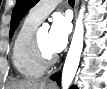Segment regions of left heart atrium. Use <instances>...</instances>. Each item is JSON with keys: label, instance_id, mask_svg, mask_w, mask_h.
Returning a JSON list of instances; mask_svg holds the SVG:
<instances>
[{"label": "left heart atrium", "instance_id": "39dd6f15", "mask_svg": "<svg viewBox=\"0 0 107 89\" xmlns=\"http://www.w3.org/2000/svg\"><path fill=\"white\" fill-rule=\"evenodd\" d=\"M71 31L69 18L63 14H56L49 31V48L53 53L64 50Z\"/></svg>", "mask_w": 107, "mask_h": 89}]
</instances>
